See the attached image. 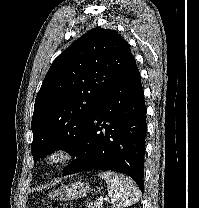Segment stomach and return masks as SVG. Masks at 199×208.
I'll return each mask as SVG.
<instances>
[{
    "instance_id": "stomach-1",
    "label": "stomach",
    "mask_w": 199,
    "mask_h": 208,
    "mask_svg": "<svg viewBox=\"0 0 199 208\" xmlns=\"http://www.w3.org/2000/svg\"><path fill=\"white\" fill-rule=\"evenodd\" d=\"M91 191L88 183L77 182L61 186L59 189L49 193L51 199L73 200L86 196Z\"/></svg>"
}]
</instances>
